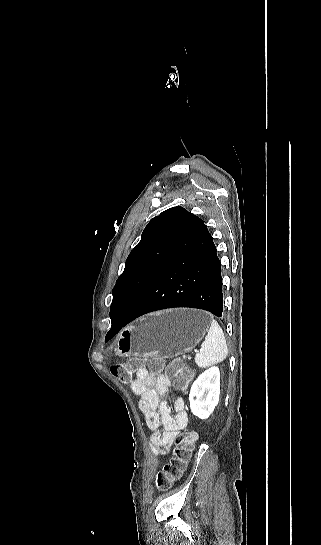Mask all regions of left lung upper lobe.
<instances>
[{
	"label": "left lung upper lobe",
	"instance_id": "5c2ea615",
	"mask_svg": "<svg viewBox=\"0 0 321 545\" xmlns=\"http://www.w3.org/2000/svg\"><path fill=\"white\" fill-rule=\"evenodd\" d=\"M191 215L182 207H173L147 224L141 241L130 252L124 272L113 288L110 317L132 311L166 262Z\"/></svg>",
	"mask_w": 321,
	"mask_h": 545
}]
</instances>
